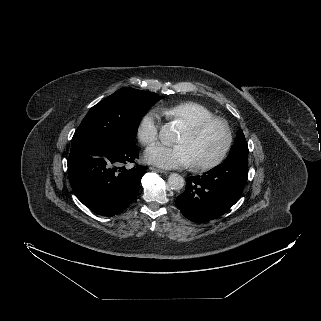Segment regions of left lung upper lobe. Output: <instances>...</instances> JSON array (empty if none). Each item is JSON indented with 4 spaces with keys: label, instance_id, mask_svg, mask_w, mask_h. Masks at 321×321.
Wrapping results in <instances>:
<instances>
[{
    "label": "left lung upper lobe",
    "instance_id": "1",
    "mask_svg": "<svg viewBox=\"0 0 321 321\" xmlns=\"http://www.w3.org/2000/svg\"><path fill=\"white\" fill-rule=\"evenodd\" d=\"M234 157L248 158V145L242 130L237 132L235 143L232 146L227 159Z\"/></svg>",
    "mask_w": 321,
    "mask_h": 321
}]
</instances>
